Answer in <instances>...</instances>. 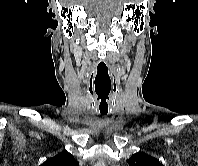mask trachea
Here are the masks:
<instances>
[{"label": "trachea", "mask_w": 198, "mask_h": 166, "mask_svg": "<svg viewBox=\"0 0 198 166\" xmlns=\"http://www.w3.org/2000/svg\"><path fill=\"white\" fill-rule=\"evenodd\" d=\"M102 115H106V113H102Z\"/></svg>", "instance_id": "obj_1"}]
</instances>
